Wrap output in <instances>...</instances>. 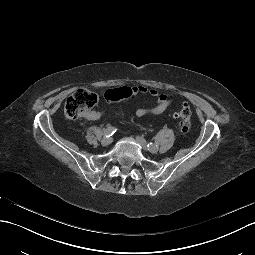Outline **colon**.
Instances as JSON below:
<instances>
[{"label":"colon","mask_w":255,"mask_h":255,"mask_svg":"<svg viewBox=\"0 0 255 255\" xmlns=\"http://www.w3.org/2000/svg\"><path fill=\"white\" fill-rule=\"evenodd\" d=\"M133 89L129 87H121L106 91L105 98L108 101L116 102L130 97ZM98 97L94 92L86 89H79L68 97L65 103V115L70 119L82 117L96 106ZM178 120L180 128L183 132H187L191 128V110L186 104L182 105L174 114Z\"/></svg>","instance_id":"1"}]
</instances>
